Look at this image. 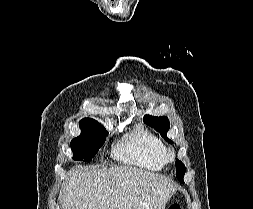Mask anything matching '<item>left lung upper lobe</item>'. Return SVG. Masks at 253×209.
<instances>
[{"mask_svg": "<svg viewBox=\"0 0 253 209\" xmlns=\"http://www.w3.org/2000/svg\"><path fill=\"white\" fill-rule=\"evenodd\" d=\"M144 122L150 127H153L155 130H157L165 140L172 143V141L166 136L170 127L169 120L166 116L154 117L145 115ZM185 171V165L181 161L176 160V177L180 182H183Z\"/></svg>", "mask_w": 253, "mask_h": 209, "instance_id": "1", "label": "left lung upper lobe"}]
</instances>
